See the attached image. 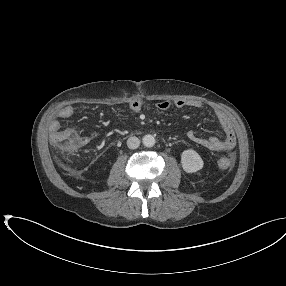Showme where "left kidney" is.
I'll list each match as a JSON object with an SVG mask.
<instances>
[{
	"label": "left kidney",
	"instance_id": "obj_1",
	"mask_svg": "<svg viewBox=\"0 0 286 286\" xmlns=\"http://www.w3.org/2000/svg\"><path fill=\"white\" fill-rule=\"evenodd\" d=\"M181 164L185 172L196 173L203 168L204 162L195 150L187 149L181 154Z\"/></svg>",
	"mask_w": 286,
	"mask_h": 286
}]
</instances>
